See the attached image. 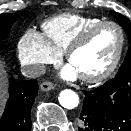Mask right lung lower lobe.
<instances>
[{
	"label": "right lung lower lobe",
	"instance_id": "right-lung-lower-lobe-1",
	"mask_svg": "<svg viewBox=\"0 0 131 131\" xmlns=\"http://www.w3.org/2000/svg\"><path fill=\"white\" fill-rule=\"evenodd\" d=\"M38 93L36 80H26L9 86V100L0 118V131H31V107Z\"/></svg>",
	"mask_w": 131,
	"mask_h": 131
}]
</instances>
